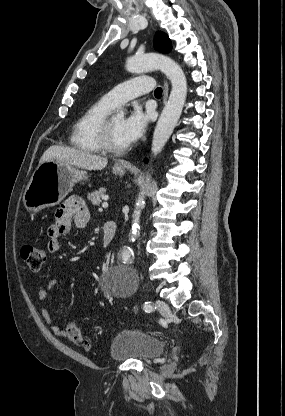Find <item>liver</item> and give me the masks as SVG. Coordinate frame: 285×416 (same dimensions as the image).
Wrapping results in <instances>:
<instances>
[{"instance_id": "1", "label": "liver", "mask_w": 285, "mask_h": 416, "mask_svg": "<svg viewBox=\"0 0 285 416\" xmlns=\"http://www.w3.org/2000/svg\"><path fill=\"white\" fill-rule=\"evenodd\" d=\"M50 160H58L69 166L83 168V170H103L108 164L107 158L95 156L86 150H75V148H65V146H50L40 158L39 166Z\"/></svg>"}]
</instances>
